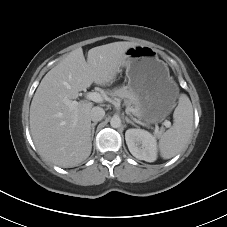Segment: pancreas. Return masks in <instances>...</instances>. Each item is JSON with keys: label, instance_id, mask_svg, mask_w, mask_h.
<instances>
[{"label": "pancreas", "instance_id": "obj_1", "mask_svg": "<svg viewBox=\"0 0 227 227\" xmlns=\"http://www.w3.org/2000/svg\"><path fill=\"white\" fill-rule=\"evenodd\" d=\"M109 95L113 98L118 97L124 99V103L127 105L128 110L133 115L138 116L137 100L134 94L127 87L114 89L113 91L109 92Z\"/></svg>", "mask_w": 227, "mask_h": 227}]
</instances>
